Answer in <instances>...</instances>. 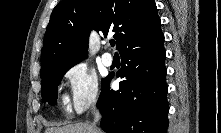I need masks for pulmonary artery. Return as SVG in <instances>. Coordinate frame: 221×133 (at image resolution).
<instances>
[{"instance_id": "obj_1", "label": "pulmonary artery", "mask_w": 221, "mask_h": 133, "mask_svg": "<svg viewBox=\"0 0 221 133\" xmlns=\"http://www.w3.org/2000/svg\"><path fill=\"white\" fill-rule=\"evenodd\" d=\"M102 62L105 66H111L113 63V56L109 52L103 53Z\"/></svg>"}]
</instances>
